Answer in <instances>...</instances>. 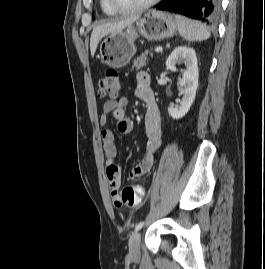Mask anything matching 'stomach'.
I'll use <instances>...</instances> for the list:
<instances>
[{"mask_svg": "<svg viewBox=\"0 0 265 269\" xmlns=\"http://www.w3.org/2000/svg\"><path fill=\"white\" fill-rule=\"evenodd\" d=\"M177 24L173 16L152 10L118 33L108 34L100 44L101 60L110 67L126 66L136 53L135 40L141 35L147 40L157 41L174 36Z\"/></svg>", "mask_w": 265, "mask_h": 269, "instance_id": "stomach-1", "label": "stomach"}]
</instances>
